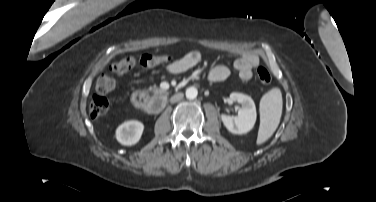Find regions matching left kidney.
Wrapping results in <instances>:
<instances>
[{
  "label": "left kidney",
  "mask_w": 376,
  "mask_h": 202,
  "mask_svg": "<svg viewBox=\"0 0 376 202\" xmlns=\"http://www.w3.org/2000/svg\"><path fill=\"white\" fill-rule=\"evenodd\" d=\"M231 102H238L241 108L237 116H220L224 126L233 134H244L249 132L256 122V107L251 97L237 92H232L229 96Z\"/></svg>",
  "instance_id": "left-kidney-1"
}]
</instances>
